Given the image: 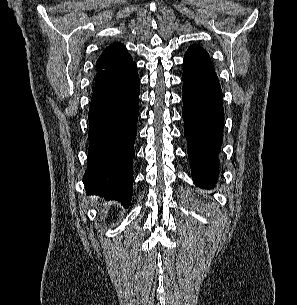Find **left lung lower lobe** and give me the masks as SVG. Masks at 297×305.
Returning <instances> with one entry per match:
<instances>
[{"mask_svg": "<svg viewBox=\"0 0 297 305\" xmlns=\"http://www.w3.org/2000/svg\"><path fill=\"white\" fill-rule=\"evenodd\" d=\"M183 119L192 177L202 188L217 181L223 140L222 91L212 66L184 68Z\"/></svg>", "mask_w": 297, "mask_h": 305, "instance_id": "0a47b994", "label": "left lung lower lobe"}]
</instances>
